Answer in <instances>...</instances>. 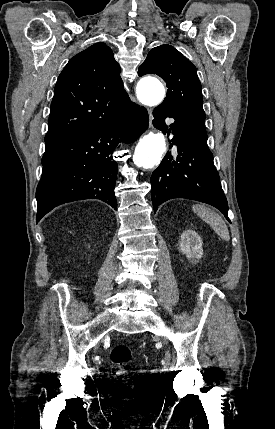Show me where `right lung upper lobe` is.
I'll list each match as a JSON object with an SVG mask.
<instances>
[{"instance_id":"1","label":"right lung upper lobe","mask_w":275,"mask_h":429,"mask_svg":"<svg viewBox=\"0 0 275 429\" xmlns=\"http://www.w3.org/2000/svg\"><path fill=\"white\" fill-rule=\"evenodd\" d=\"M130 103L113 52L96 43L72 57L59 75L45 143L108 124L121 117Z\"/></svg>"}]
</instances>
